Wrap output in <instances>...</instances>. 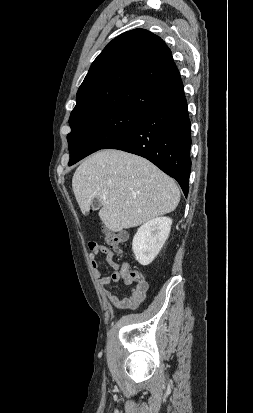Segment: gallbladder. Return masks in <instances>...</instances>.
I'll return each mask as SVG.
<instances>
[{"label": "gallbladder", "mask_w": 253, "mask_h": 413, "mask_svg": "<svg viewBox=\"0 0 253 413\" xmlns=\"http://www.w3.org/2000/svg\"><path fill=\"white\" fill-rule=\"evenodd\" d=\"M91 206H92V208H93L94 210H98V209L100 208V206H101V202L99 201L98 198H94V199L92 200Z\"/></svg>", "instance_id": "obj_1"}]
</instances>
